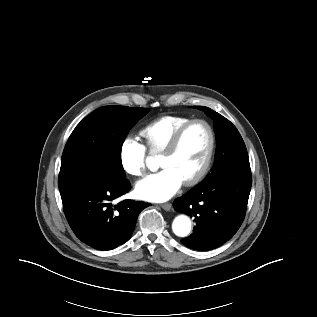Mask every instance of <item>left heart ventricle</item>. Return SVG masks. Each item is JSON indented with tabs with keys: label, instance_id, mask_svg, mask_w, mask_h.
Listing matches in <instances>:
<instances>
[{
	"label": "left heart ventricle",
	"instance_id": "b2bd125f",
	"mask_svg": "<svg viewBox=\"0 0 317 317\" xmlns=\"http://www.w3.org/2000/svg\"><path fill=\"white\" fill-rule=\"evenodd\" d=\"M209 147V133L202 124H195L184 134L177 151L162 156L159 165L173 169L185 181L201 167Z\"/></svg>",
	"mask_w": 317,
	"mask_h": 317
}]
</instances>
